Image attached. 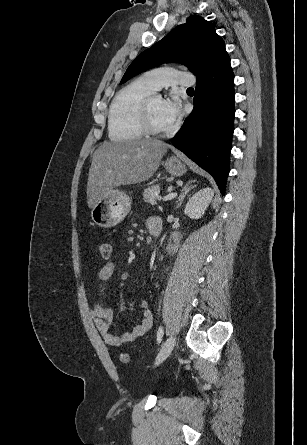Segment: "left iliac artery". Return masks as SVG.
Wrapping results in <instances>:
<instances>
[{
  "label": "left iliac artery",
  "instance_id": "44dca946",
  "mask_svg": "<svg viewBox=\"0 0 307 445\" xmlns=\"http://www.w3.org/2000/svg\"><path fill=\"white\" fill-rule=\"evenodd\" d=\"M163 335H164V330H163V327L160 326L158 331H157V342H158V344L161 342V340L163 338Z\"/></svg>",
  "mask_w": 307,
  "mask_h": 445
}]
</instances>
